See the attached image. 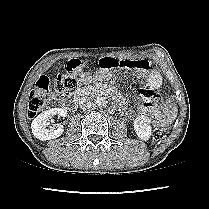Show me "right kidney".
<instances>
[{
	"instance_id": "obj_1",
	"label": "right kidney",
	"mask_w": 209,
	"mask_h": 209,
	"mask_svg": "<svg viewBox=\"0 0 209 209\" xmlns=\"http://www.w3.org/2000/svg\"><path fill=\"white\" fill-rule=\"evenodd\" d=\"M55 115L66 117L67 110L64 108H52L42 112L32 121L31 129L35 138L46 141L62 135L64 132L62 125H59L57 128H46L49 125V119Z\"/></svg>"
}]
</instances>
